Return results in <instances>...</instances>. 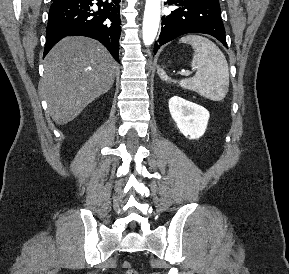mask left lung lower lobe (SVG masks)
Masks as SVG:
<instances>
[{
  "mask_svg": "<svg viewBox=\"0 0 289 274\" xmlns=\"http://www.w3.org/2000/svg\"><path fill=\"white\" fill-rule=\"evenodd\" d=\"M168 4H173L172 0ZM174 4L179 8L162 16L161 33L155 42L154 53L163 44L188 33L209 34L228 48L219 0H177Z\"/></svg>",
  "mask_w": 289,
  "mask_h": 274,
  "instance_id": "0a47b994",
  "label": "left lung lower lobe"
}]
</instances>
